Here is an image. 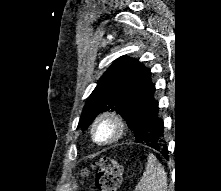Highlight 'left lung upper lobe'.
<instances>
[{
	"label": "left lung upper lobe",
	"instance_id": "left-lung-upper-lobe-1",
	"mask_svg": "<svg viewBox=\"0 0 221 191\" xmlns=\"http://www.w3.org/2000/svg\"><path fill=\"white\" fill-rule=\"evenodd\" d=\"M140 63L137 59L122 56L118 58L99 79L96 88L88 97L83 108L78 128L86 129L101 112L115 110L127 121L134 131L131 109L132 86ZM135 142L145 143L134 131Z\"/></svg>",
	"mask_w": 221,
	"mask_h": 191
}]
</instances>
